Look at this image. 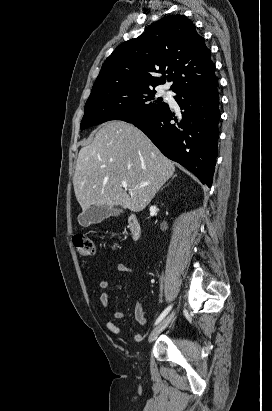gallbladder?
I'll return each instance as SVG.
<instances>
[{
    "instance_id": "obj_1",
    "label": "gallbladder",
    "mask_w": 272,
    "mask_h": 411,
    "mask_svg": "<svg viewBox=\"0 0 272 411\" xmlns=\"http://www.w3.org/2000/svg\"><path fill=\"white\" fill-rule=\"evenodd\" d=\"M120 213H122V210L119 209L112 211L106 206H93L79 215L78 222L81 226L88 227L91 224L101 223L110 216H118Z\"/></svg>"
}]
</instances>
